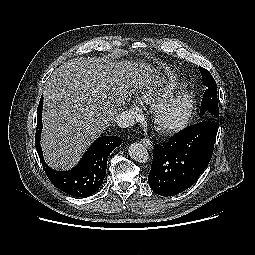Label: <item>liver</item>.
Wrapping results in <instances>:
<instances>
[{
    "mask_svg": "<svg viewBox=\"0 0 255 255\" xmlns=\"http://www.w3.org/2000/svg\"><path fill=\"white\" fill-rule=\"evenodd\" d=\"M149 73L142 64L110 57L73 58L59 66L44 87L42 147L47 163L55 169L74 166L135 90L148 86Z\"/></svg>",
    "mask_w": 255,
    "mask_h": 255,
    "instance_id": "liver-1",
    "label": "liver"
}]
</instances>
